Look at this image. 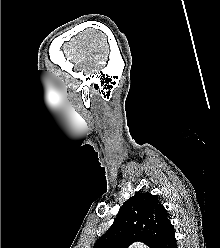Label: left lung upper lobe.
<instances>
[{"label":"left lung upper lobe","mask_w":220,"mask_h":248,"mask_svg":"<svg viewBox=\"0 0 220 248\" xmlns=\"http://www.w3.org/2000/svg\"><path fill=\"white\" fill-rule=\"evenodd\" d=\"M170 226L168 213L158 197L137 192L124 202L110 229L93 248H128L136 242L157 248Z\"/></svg>","instance_id":"obj_1"}]
</instances>
